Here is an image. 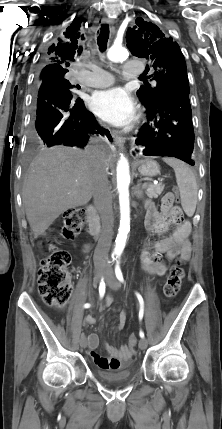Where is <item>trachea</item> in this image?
Returning a JSON list of instances; mask_svg holds the SVG:
<instances>
[{
	"label": "trachea",
	"mask_w": 222,
	"mask_h": 429,
	"mask_svg": "<svg viewBox=\"0 0 222 429\" xmlns=\"http://www.w3.org/2000/svg\"><path fill=\"white\" fill-rule=\"evenodd\" d=\"M109 25L104 24L102 25L100 29V34L97 38L98 40V46L101 52L105 51L107 48V42L109 39ZM141 80L146 82V79L144 77H141Z\"/></svg>",
	"instance_id": "obj_1"
}]
</instances>
